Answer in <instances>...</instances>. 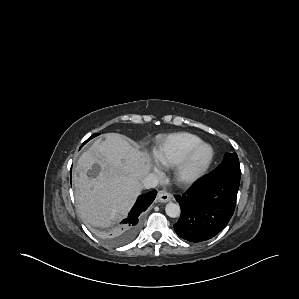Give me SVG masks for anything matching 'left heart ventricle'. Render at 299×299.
<instances>
[{
    "instance_id": "obj_1",
    "label": "left heart ventricle",
    "mask_w": 299,
    "mask_h": 299,
    "mask_svg": "<svg viewBox=\"0 0 299 299\" xmlns=\"http://www.w3.org/2000/svg\"><path fill=\"white\" fill-rule=\"evenodd\" d=\"M208 156H209V150L207 148L201 150L196 158V164L201 165L207 160Z\"/></svg>"
}]
</instances>
